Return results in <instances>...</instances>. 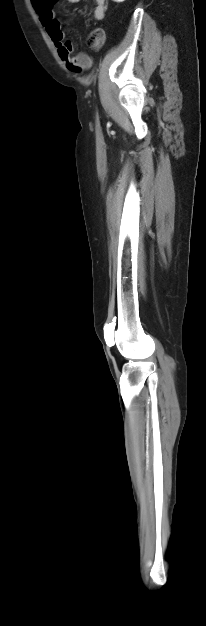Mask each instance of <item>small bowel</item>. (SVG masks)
Wrapping results in <instances>:
<instances>
[{
	"instance_id": "c3829d8e",
	"label": "small bowel",
	"mask_w": 206,
	"mask_h": 626,
	"mask_svg": "<svg viewBox=\"0 0 206 626\" xmlns=\"http://www.w3.org/2000/svg\"><path fill=\"white\" fill-rule=\"evenodd\" d=\"M75 3L79 0H68ZM95 8L92 13L93 19L101 21L106 14V0H94ZM32 4L39 14L40 21L57 49L60 59L67 69L72 72H79L88 69L92 65V58L85 52L73 53V47L69 40L65 38L61 30L60 22L55 17L53 11L54 0H32Z\"/></svg>"
}]
</instances>
